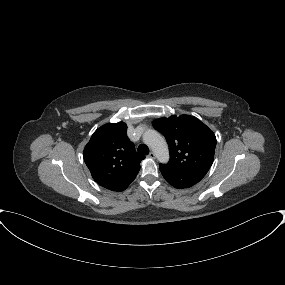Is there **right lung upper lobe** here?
<instances>
[{"mask_svg": "<svg viewBox=\"0 0 285 285\" xmlns=\"http://www.w3.org/2000/svg\"><path fill=\"white\" fill-rule=\"evenodd\" d=\"M124 122L108 123L98 128L84 148V161L93 179L112 191H123L135 179L140 162L126 135Z\"/></svg>", "mask_w": 285, "mask_h": 285, "instance_id": "cb5924a9", "label": "right lung upper lobe"}]
</instances>
